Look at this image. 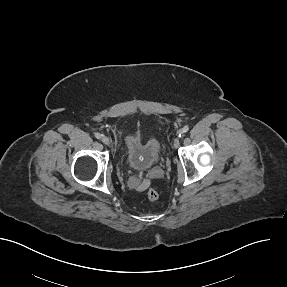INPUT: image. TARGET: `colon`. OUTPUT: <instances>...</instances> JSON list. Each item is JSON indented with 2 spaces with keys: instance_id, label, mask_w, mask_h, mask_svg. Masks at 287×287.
<instances>
[{
  "instance_id": "1",
  "label": "colon",
  "mask_w": 287,
  "mask_h": 287,
  "mask_svg": "<svg viewBox=\"0 0 287 287\" xmlns=\"http://www.w3.org/2000/svg\"><path fill=\"white\" fill-rule=\"evenodd\" d=\"M146 196H147L148 200L155 201L158 199L159 194L155 189L151 188L147 191Z\"/></svg>"
}]
</instances>
